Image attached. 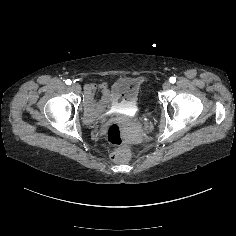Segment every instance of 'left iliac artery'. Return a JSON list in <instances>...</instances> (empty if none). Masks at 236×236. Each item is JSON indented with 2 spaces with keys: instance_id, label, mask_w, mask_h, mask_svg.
Masks as SVG:
<instances>
[{
  "instance_id": "1",
  "label": "left iliac artery",
  "mask_w": 236,
  "mask_h": 236,
  "mask_svg": "<svg viewBox=\"0 0 236 236\" xmlns=\"http://www.w3.org/2000/svg\"><path fill=\"white\" fill-rule=\"evenodd\" d=\"M169 81H170V83H175L176 82V78L175 77H170V79H169Z\"/></svg>"
}]
</instances>
